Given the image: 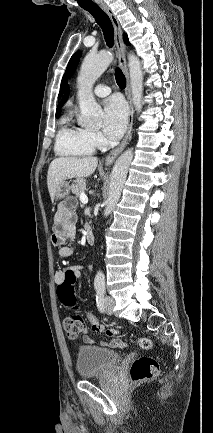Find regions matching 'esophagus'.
<instances>
[{"mask_svg": "<svg viewBox=\"0 0 213 433\" xmlns=\"http://www.w3.org/2000/svg\"><path fill=\"white\" fill-rule=\"evenodd\" d=\"M102 9L106 12V14L109 16L113 28H114V35H115V43L118 51V62L121 66L124 75L126 77V96L129 103V117H128V125H127V132L122 140V142L117 146L115 149H113L105 158V164L111 165L115 159L118 157V155L124 150L126 145L128 144V141L132 137V126H133V104L131 99V89H130V80H129V72H128V66L126 61V46L122 39V30L120 23L114 14V12L106 5L101 6Z\"/></svg>", "mask_w": 213, "mask_h": 433, "instance_id": "obj_1", "label": "esophagus"}]
</instances>
